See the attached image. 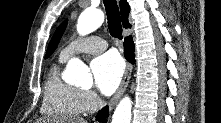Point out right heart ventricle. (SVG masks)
I'll use <instances>...</instances> for the list:
<instances>
[{"instance_id":"e07e8e85","label":"right heart ventricle","mask_w":221,"mask_h":123,"mask_svg":"<svg viewBox=\"0 0 221 123\" xmlns=\"http://www.w3.org/2000/svg\"><path fill=\"white\" fill-rule=\"evenodd\" d=\"M64 60L52 65L43 89L42 112L45 115L57 118H72L82 114L84 106L81 99V90L62 80L60 65Z\"/></svg>"}]
</instances>
